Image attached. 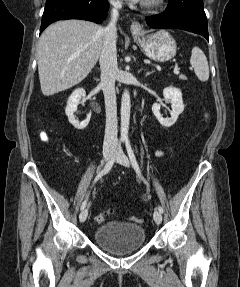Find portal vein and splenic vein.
Wrapping results in <instances>:
<instances>
[{"mask_svg": "<svg viewBox=\"0 0 240 287\" xmlns=\"http://www.w3.org/2000/svg\"><path fill=\"white\" fill-rule=\"evenodd\" d=\"M178 69H179L178 67L175 68V70H178Z\"/></svg>", "mask_w": 240, "mask_h": 287, "instance_id": "18ae733b", "label": "portal vein and splenic vein"}]
</instances>
